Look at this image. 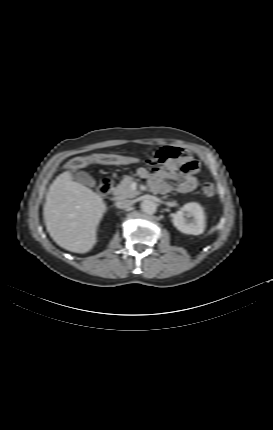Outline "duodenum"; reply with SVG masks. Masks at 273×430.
Segmentation results:
<instances>
[{
  "instance_id": "410a0bca",
  "label": "duodenum",
  "mask_w": 273,
  "mask_h": 430,
  "mask_svg": "<svg viewBox=\"0 0 273 430\" xmlns=\"http://www.w3.org/2000/svg\"><path fill=\"white\" fill-rule=\"evenodd\" d=\"M112 181L108 178L103 179L98 185V192L102 196H106L110 193Z\"/></svg>"
}]
</instances>
